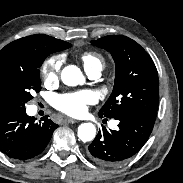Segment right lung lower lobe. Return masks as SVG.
<instances>
[{"instance_id": "obj_1", "label": "right lung lower lobe", "mask_w": 183, "mask_h": 183, "mask_svg": "<svg viewBox=\"0 0 183 183\" xmlns=\"http://www.w3.org/2000/svg\"><path fill=\"white\" fill-rule=\"evenodd\" d=\"M25 108H9L0 113V151L17 160L40 154L58 127L48 116L36 122Z\"/></svg>"}]
</instances>
